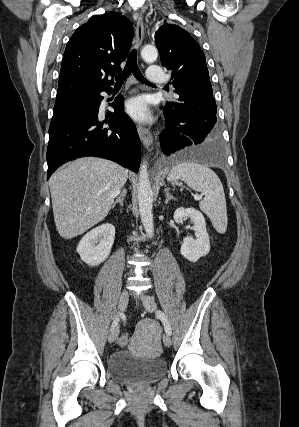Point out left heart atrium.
Here are the masks:
<instances>
[{"instance_id":"39dd6f15","label":"left heart atrium","mask_w":299,"mask_h":427,"mask_svg":"<svg viewBox=\"0 0 299 427\" xmlns=\"http://www.w3.org/2000/svg\"><path fill=\"white\" fill-rule=\"evenodd\" d=\"M125 110L135 120L147 121L150 119L147 101L143 96H137L127 101Z\"/></svg>"}]
</instances>
